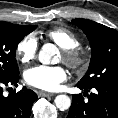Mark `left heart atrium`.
Returning a JSON list of instances; mask_svg holds the SVG:
<instances>
[{"label": "left heart atrium", "mask_w": 118, "mask_h": 118, "mask_svg": "<svg viewBox=\"0 0 118 118\" xmlns=\"http://www.w3.org/2000/svg\"><path fill=\"white\" fill-rule=\"evenodd\" d=\"M25 81L38 89L56 91L67 80V72L62 66L38 65L25 72Z\"/></svg>", "instance_id": "39dd6f15"}]
</instances>
